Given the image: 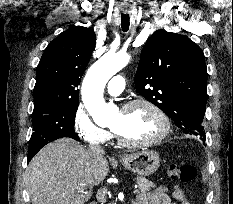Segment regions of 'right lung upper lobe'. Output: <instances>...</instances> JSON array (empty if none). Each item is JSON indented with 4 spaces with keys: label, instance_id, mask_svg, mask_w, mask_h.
Returning <instances> with one entry per match:
<instances>
[{
    "label": "right lung upper lobe",
    "instance_id": "1",
    "mask_svg": "<svg viewBox=\"0 0 233 204\" xmlns=\"http://www.w3.org/2000/svg\"><path fill=\"white\" fill-rule=\"evenodd\" d=\"M96 43L92 29L73 27L52 40L37 66L34 110L78 103V85Z\"/></svg>",
    "mask_w": 233,
    "mask_h": 204
}]
</instances>
